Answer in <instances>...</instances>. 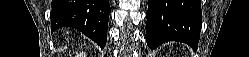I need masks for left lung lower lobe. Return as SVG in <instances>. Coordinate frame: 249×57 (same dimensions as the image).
I'll return each mask as SVG.
<instances>
[{
	"instance_id": "0a47b994",
	"label": "left lung lower lobe",
	"mask_w": 249,
	"mask_h": 57,
	"mask_svg": "<svg viewBox=\"0 0 249 57\" xmlns=\"http://www.w3.org/2000/svg\"><path fill=\"white\" fill-rule=\"evenodd\" d=\"M146 41L157 48L180 41L196 50L201 30L200 0H148Z\"/></svg>"
}]
</instances>
